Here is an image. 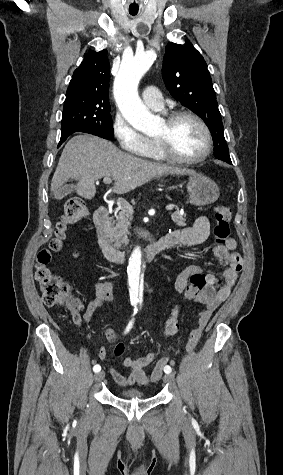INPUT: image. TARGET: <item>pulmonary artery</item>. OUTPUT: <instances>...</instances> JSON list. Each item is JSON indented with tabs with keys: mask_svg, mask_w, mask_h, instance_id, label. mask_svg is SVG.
<instances>
[{
	"mask_svg": "<svg viewBox=\"0 0 283 475\" xmlns=\"http://www.w3.org/2000/svg\"><path fill=\"white\" fill-rule=\"evenodd\" d=\"M113 90H138V89H113ZM162 90L160 87L146 86L141 90L143 102L152 109L161 110L164 106Z\"/></svg>",
	"mask_w": 283,
	"mask_h": 475,
	"instance_id": "1",
	"label": "pulmonary artery"
}]
</instances>
